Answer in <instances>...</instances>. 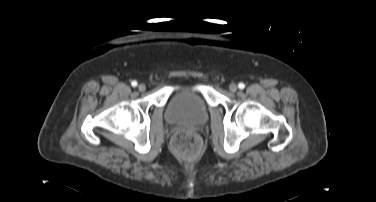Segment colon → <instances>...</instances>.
Listing matches in <instances>:
<instances>
[{
  "label": "colon",
  "instance_id": "1",
  "mask_svg": "<svg viewBox=\"0 0 376 202\" xmlns=\"http://www.w3.org/2000/svg\"><path fill=\"white\" fill-rule=\"evenodd\" d=\"M171 148L183 159H194L201 151V140L195 133L179 130L172 137Z\"/></svg>",
  "mask_w": 376,
  "mask_h": 202
}]
</instances>
